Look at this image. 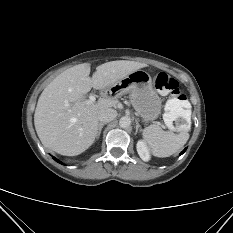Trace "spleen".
<instances>
[{
  "label": "spleen",
  "instance_id": "3e777b00",
  "mask_svg": "<svg viewBox=\"0 0 233 233\" xmlns=\"http://www.w3.org/2000/svg\"><path fill=\"white\" fill-rule=\"evenodd\" d=\"M191 105L188 101L169 100L165 105L163 119L169 126L179 117L186 120L184 129L179 134L165 132L156 125L143 130V138L155 156L169 157L180 150L189 139L188 128L191 122Z\"/></svg>",
  "mask_w": 233,
  "mask_h": 233
}]
</instances>
